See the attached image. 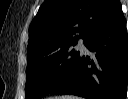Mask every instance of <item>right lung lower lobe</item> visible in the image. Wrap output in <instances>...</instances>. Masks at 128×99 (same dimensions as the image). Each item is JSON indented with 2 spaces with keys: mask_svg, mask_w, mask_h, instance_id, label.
Wrapping results in <instances>:
<instances>
[{
  "mask_svg": "<svg viewBox=\"0 0 128 99\" xmlns=\"http://www.w3.org/2000/svg\"><path fill=\"white\" fill-rule=\"evenodd\" d=\"M83 43L95 57L81 55L72 73L53 92L88 99H125L128 34L122 7L92 30Z\"/></svg>",
  "mask_w": 128,
  "mask_h": 99,
  "instance_id": "obj_1",
  "label": "right lung lower lobe"
}]
</instances>
